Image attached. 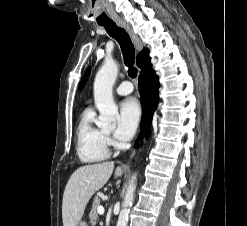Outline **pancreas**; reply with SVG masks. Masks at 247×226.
<instances>
[{
    "label": "pancreas",
    "instance_id": "1",
    "mask_svg": "<svg viewBox=\"0 0 247 226\" xmlns=\"http://www.w3.org/2000/svg\"><path fill=\"white\" fill-rule=\"evenodd\" d=\"M99 206H100V199L98 197H95L93 201L92 209L89 214L91 224H95L96 221L98 220L99 216H98L97 208Z\"/></svg>",
    "mask_w": 247,
    "mask_h": 226
}]
</instances>
